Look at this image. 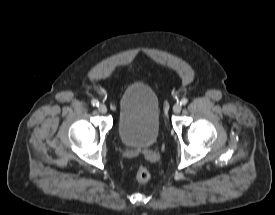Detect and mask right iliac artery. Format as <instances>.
I'll return each instance as SVG.
<instances>
[{
    "label": "right iliac artery",
    "instance_id": "right-iliac-artery-1",
    "mask_svg": "<svg viewBox=\"0 0 275 215\" xmlns=\"http://www.w3.org/2000/svg\"><path fill=\"white\" fill-rule=\"evenodd\" d=\"M91 104H92L93 106H99V101L96 100V99H93V100L91 101Z\"/></svg>",
    "mask_w": 275,
    "mask_h": 215
}]
</instances>
